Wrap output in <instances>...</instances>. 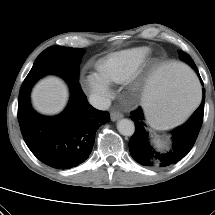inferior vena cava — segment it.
Returning <instances> with one entry per match:
<instances>
[{
	"label": "inferior vena cava",
	"mask_w": 215,
	"mask_h": 215,
	"mask_svg": "<svg viewBox=\"0 0 215 215\" xmlns=\"http://www.w3.org/2000/svg\"><path fill=\"white\" fill-rule=\"evenodd\" d=\"M89 102L93 107L99 110H107L111 105V100L109 98L96 94L90 95Z\"/></svg>",
	"instance_id": "1"
}]
</instances>
